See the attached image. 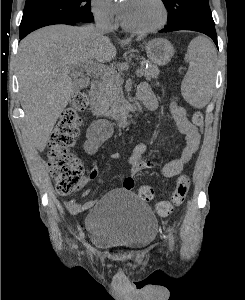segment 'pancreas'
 <instances>
[{
	"label": "pancreas",
	"instance_id": "1",
	"mask_svg": "<svg viewBox=\"0 0 245 300\" xmlns=\"http://www.w3.org/2000/svg\"><path fill=\"white\" fill-rule=\"evenodd\" d=\"M148 64V68H142V75L147 81L156 79L159 75L158 67L149 61H144L143 65ZM103 92L101 95L102 109L108 117L119 120L128 111L125 106V98L122 90L123 80L121 75L115 70L102 76Z\"/></svg>",
	"mask_w": 245,
	"mask_h": 300
}]
</instances>
